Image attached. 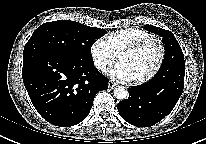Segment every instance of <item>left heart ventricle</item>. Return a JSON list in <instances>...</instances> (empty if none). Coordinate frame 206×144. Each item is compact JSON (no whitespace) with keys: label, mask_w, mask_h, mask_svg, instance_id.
Instances as JSON below:
<instances>
[{"label":"left heart ventricle","mask_w":206,"mask_h":144,"mask_svg":"<svg viewBox=\"0 0 206 144\" xmlns=\"http://www.w3.org/2000/svg\"><path fill=\"white\" fill-rule=\"evenodd\" d=\"M158 57V49L150 45L136 53L126 54L120 58V63L127 66L134 80L148 74L154 67Z\"/></svg>","instance_id":"left-heart-ventricle-1"}]
</instances>
